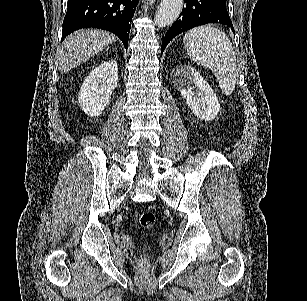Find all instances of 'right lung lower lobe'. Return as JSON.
<instances>
[{"label":"right lung lower lobe","instance_id":"1","mask_svg":"<svg viewBox=\"0 0 307 301\" xmlns=\"http://www.w3.org/2000/svg\"><path fill=\"white\" fill-rule=\"evenodd\" d=\"M138 0H68L62 40L81 28H100L117 35L127 49L130 23Z\"/></svg>","mask_w":307,"mask_h":301}]
</instances>
